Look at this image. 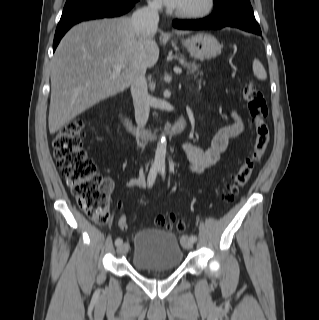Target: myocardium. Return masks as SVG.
<instances>
[{"label": "myocardium", "instance_id": "obj_1", "mask_svg": "<svg viewBox=\"0 0 319 320\" xmlns=\"http://www.w3.org/2000/svg\"><path fill=\"white\" fill-rule=\"evenodd\" d=\"M216 6V0H204L200 8L190 11L177 10L176 16L183 19H199L211 14Z\"/></svg>", "mask_w": 319, "mask_h": 320}]
</instances>
